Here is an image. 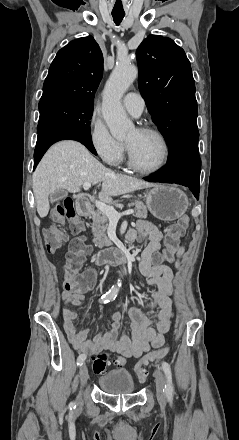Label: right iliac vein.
Instances as JSON below:
<instances>
[{
    "instance_id": "1",
    "label": "right iliac vein",
    "mask_w": 239,
    "mask_h": 440,
    "mask_svg": "<svg viewBox=\"0 0 239 440\" xmlns=\"http://www.w3.org/2000/svg\"><path fill=\"white\" fill-rule=\"evenodd\" d=\"M81 389H83L88 380V370L86 365H82L79 370Z\"/></svg>"
}]
</instances>
